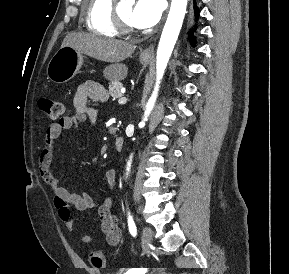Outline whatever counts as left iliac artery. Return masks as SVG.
I'll return each instance as SVG.
<instances>
[{"mask_svg": "<svg viewBox=\"0 0 289 274\" xmlns=\"http://www.w3.org/2000/svg\"><path fill=\"white\" fill-rule=\"evenodd\" d=\"M128 227H129V231L131 235L133 237H136L137 229H136V225L134 223L133 217L131 216L130 212H128Z\"/></svg>", "mask_w": 289, "mask_h": 274, "instance_id": "left-iliac-artery-1", "label": "left iliac artery"}]
</instances>
